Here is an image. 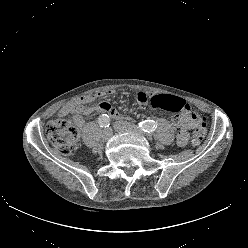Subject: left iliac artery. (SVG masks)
<instances>
[{"label":"left iliac artery","mask_w":248,"mask_h":248,"mask_svg":"<svg viewBox=\"0 0 248 248\" xmlns=\"http://www.w3.org/2000/svg\"><path fill=\"white\" fill-rule=\"evenodd\" d=\"M138 126H139L138 128H141V130H143L144 132H147V133H152L157 128L156 122L153 120L142 121V122L138 123Z\"/></svg>","instance_id":"left-iliac-artery-1"}]
</instances>
